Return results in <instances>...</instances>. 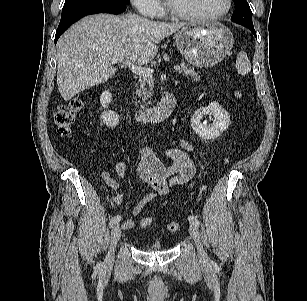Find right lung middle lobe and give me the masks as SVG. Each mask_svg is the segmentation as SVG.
Here are the masks:
<instances>
[{"mask_svg":"<svg viewBox=\"0 0 307 301\" xmlns=\"http://www.w3.org/2000/svg\"><path fill=\"white\" fill-rule=\"evenodd\" d=\"M112 2L117 4H128L129 0H65L62 13L73 9L84 7L94 3Z\"/></svg>","mask_w":307,"mask_h":301,"instance_id":"dd1d6c3e","label":"right lung middle lobe"}]
</instances>
